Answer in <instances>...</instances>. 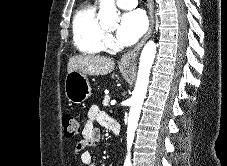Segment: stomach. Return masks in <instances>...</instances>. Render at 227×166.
I'll use <instances>...</instances> for the list:
<instances>
[{"label":"stomach","mask_w":227,"mask_h":166,"mask_svg":"<svg viewBox=\"0 0 227 166\" xmlns=\"http://www.w3.org/2000/svg\"><path fill=\"white\" fill-rule=\"evenodd\" d=\"M126 66L125 68H129ZM65 95L71 103L81 104L91 95L88 77L76 70L67 73L65 78Z\"/></svg>","instance_id":"obj_1"}]
</instances>
